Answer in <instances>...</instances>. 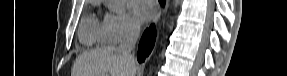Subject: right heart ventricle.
Listing matches in <instances>:
<instances>
[{
  "instance_id": "right-heart-ventricle-1",
  "label": "right heart ventricle",
  "mask_w": 287,
  "mask_h": 76,
  "mask_svg": "<svg viewBox=\"0 0 287 76\" xmlns=\"http://www.w3.org/2000/svg\"><path fill=\"white\" fill-rule=\"evenodd\" d=\"M80 40L87 45L109 43L103 22L100 23L94 15L88 16L80 28Z\"/></svg>"
}]
</instances>
